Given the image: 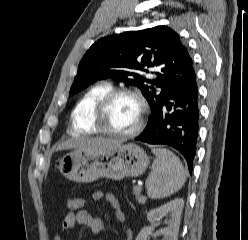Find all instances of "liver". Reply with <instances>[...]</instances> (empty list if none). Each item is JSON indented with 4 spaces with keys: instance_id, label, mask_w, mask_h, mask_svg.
<instances>
[{
    "instance_id": "6515ba94",
    "label": "liver",
    "mask_w": 248,
    "mask_h": 240,
    "mask_svg": "<svg viewBox=\"0 0 248 240\" xmlns=\"http://www.w3.org/2000/svg\"><path fill=\"white\" fill-rule=\"evenodd\" d=\"M120 144L118 141L104 138L70 139L60 144L56 150L76 148L81 151H97Z\"/></svg>"
}]
</instances>
